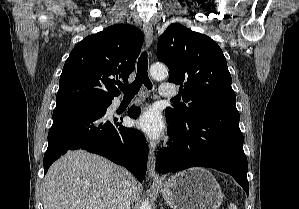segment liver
Listing matches in <instances>:
<instances>
[{"label":"liver","mask_w":299,"mask_h":209,"mask_svg":"<svg viewBox=\"0 0 299 209\" xmlns=\"http://www.w3.org/2000/svg\"><path fill=\"white\" fill-rule=\"evenodd\" d=\"M124 170L84 150L68 152L51 165L44 178V209H117ZM131 191L134 199L138 191L134 178Z\"/></svg>","instance_id":"1"}]
</instances>
